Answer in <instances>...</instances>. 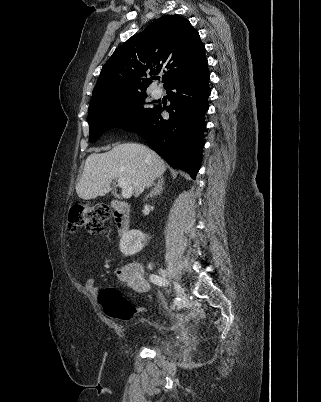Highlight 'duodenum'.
<instances>
[{"label":"duodenum","instance_id":"obj_1","mask_svg":"<svg viewBox=\"0 0 321 402\" xmlns=\"http://www.w3.org/2000/svg\"><path fill=\"white\" fill-rule=\"evenodd\" d=\"M114 211V221L117 231L123 235L130 229V208L122 201H113L111 204Z\"/></svg>","mask_w":321,"mask_h":402}]
</instances>
